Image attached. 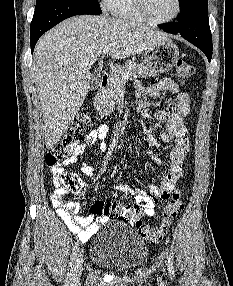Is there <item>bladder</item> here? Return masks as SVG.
Returning a JSON list of instances; mask_svg holds the SVG:
<instances>
[{
  "label": "bladder",
  "mask_w": 233,
  "mask_h": 286,
  "mask_svg": "<svg viewBox=\"0 0 233 286\" xmlns=\"http://www.w3.org/2000/svg\"><path fill=\"white\" fill-rule=\"evenodd\" d=\"M143 238L122 222L108 223L90 248L92 263L112 272H129L143 266L148 258Z\"/></svg>",
  "instance_id": "1"
}]
</instances>
